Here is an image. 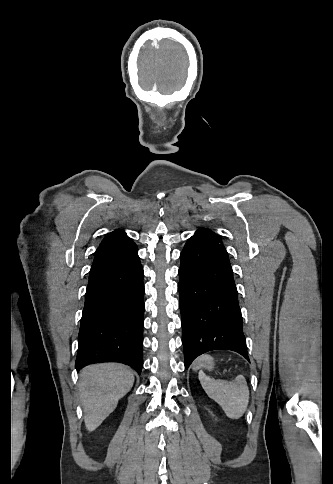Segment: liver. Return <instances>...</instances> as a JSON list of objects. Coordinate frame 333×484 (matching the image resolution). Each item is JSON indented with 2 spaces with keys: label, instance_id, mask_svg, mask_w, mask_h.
Wrapping results in <instances>:
<instances>
[{
  "label": "liver",
  "instance_id": "obj_1",
  "mask_svg": "<svg viewBox=\"0 0 333 484\" xmlns=\"http://www.w3.org/2000/svg\"><path fill=\"white\" fill-rule=\"evenodd\" d=\"M133 383V373L121 364H95L82 369L79 391L88 431H94L114 411Z\"/></svg>",
  "mask_w": 333,
  "mask_h": 484
}]
</instances>
